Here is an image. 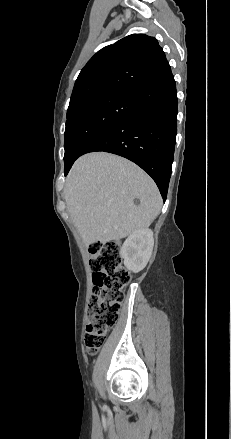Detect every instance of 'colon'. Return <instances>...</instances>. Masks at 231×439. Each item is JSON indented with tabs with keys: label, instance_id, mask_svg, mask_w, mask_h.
Listing matches in <instances>:
<instances>
[{
	"label": "colon",
	"instance_id": "1",
	"mask_svg": "<svg viewBox=\"0 0 231 439\" xmlns=\"http://www.w3.org/2000/svg\"><path fill=\"white\" fill-rule=\"evenodd\" d=\"M90 254L95 289L84 342L88 353L95 355L119 317L130 274L122 265L120 248L115 243H96L90 247Z\"/></svg>",
	"mask_w": 231,
	"mask_h": 439
}]
</instances>
